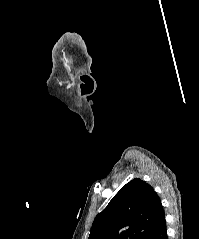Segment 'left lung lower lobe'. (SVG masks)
Wrapping results in <instances>:
<instances>
[{"label": "left lung lower lobe", "mask_w": 199, "mask_h": 239, "mask_svg": "<svg viewBox=\"0 0 199 239\" xmlns=\"http://www.w3.org/2000/svg\"><path fill=\"white\" fill-rule=\"evenodd\" d=\"M148 239H168L164 211L155 222Z\"/></svg>", "instance_id": "obj_1"}]
</instances>
